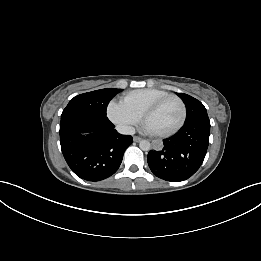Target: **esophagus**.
Returning a JSON list of instances; mask_svg holds the SVG:
<instances>
[{
	"mask_svg": "<svg viewBox=\"0 0 261 261\" xmlns=\"http://www.w3.org/2000/svg\"><path fill=\"white\" fill-rule=\"evenodd\" d=\"M141 140H142V138L139 137V136H134V137H133V141H134V142H140Z\"/></svg>",
	"mask_w": 261,
	"mask_h": 261,
	"instance_id": "34e87169",
	"label": "esophagus"
}]
</instances>
